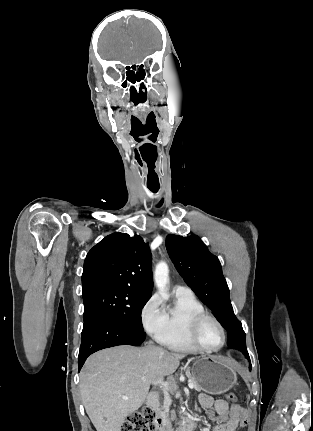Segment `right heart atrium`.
I'll list each match as a JSON object with an SVG mask.
<instances>
[{
    "mask_svg": "<svg viewBox=\"0 0 313 431\" xmlns=\"http://www.w3.org/2000/svg\"><path fill=\"white\" fill-rule=\"evenodd\" d=\"M144 329L159 340L166 327V311L160 295H152L141 310Z\"/></svg>",
    "mask_w": 313,
    "mask_h": 431,
    "instance_id": "d8ad5b80",
    "label": "right heart atrium"
}]
</instances>
